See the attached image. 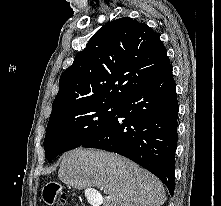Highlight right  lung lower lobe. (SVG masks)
Returning <instances> with one entry per match:
<instances>
[{
  "label": "right lung lower lobe",
  "mask_w": 221,
  "mask_h": 206,
  "mask_svg": "<svg viewBox=\"0 0 221 206\" xmlns=\"http://www.w3.org/2000/svg\"><path fill=\"white\" fill-rule=\"evenodd\" d=\"M178 101L169 64L130 93L114 119L81 147L123 155L156 175L174 193Z\"/></svg>",
  "instance_id": "right-lung-lower-lobe-1"
}]
</instances>
